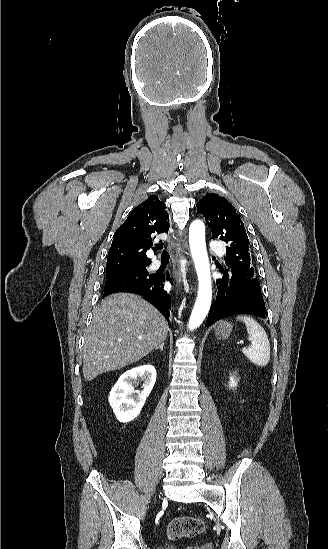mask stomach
Instances as JSON below:
<instances>
[{
	"mask_svg": "<svg viewBox=\"0 0 328 549\" xmlns=\"http://www.w3.org/2000/svg\"><path fill=\"white\" fill-rule=\"evenodd\" d=\"M232 331V325L227 321H219L215 327V335L217 339H228Z\"/></svg>",
	"mask_w": 328,
	"mask_h": 549,
	"instance_id": "1",
	"label": "stomach"
}]
</instances>
